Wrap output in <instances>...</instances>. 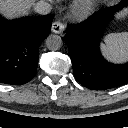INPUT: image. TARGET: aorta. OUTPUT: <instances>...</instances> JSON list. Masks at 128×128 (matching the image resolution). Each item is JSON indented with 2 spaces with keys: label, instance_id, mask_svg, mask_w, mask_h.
<instances>
[{
  "label": "aorta",
  "instance_id": "aorta-1",
  "mask_svg": "<svg viewBox=\"0 0 128 128\" xmlns=\"http://www.w3.org/2000/svg\"><path fill=\"white\" fill-rule=\"evenodd\" d=\"M46 46L51 51H56L62 46V39L59 35L51 34L46 39Z\"/></svg>",
  "mask_w": 128,
  "mask_h": 128
}]
</instances>
